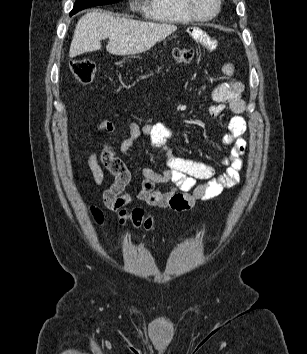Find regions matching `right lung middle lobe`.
<instances>
[{
    "instance_id": "dd1d6c3e",
    "label": "right lung middle lobe",
    "mask_w": 307,
    "mask_h": 354,
    "mask_svg": "<svg viewBox=\"0 0 307 354\" xmlns=\"http://www.w3.org/2000/svg\"><path fill=\"white\" fill-rule=\"evenodd\" d=\"M119 0H76L70 16L85 8L116 3Z\"/></svg>"
}]
</instances>
